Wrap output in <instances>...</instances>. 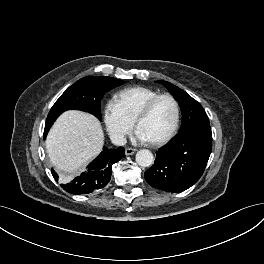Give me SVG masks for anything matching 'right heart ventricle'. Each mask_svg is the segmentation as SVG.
<instances>
[{
    "mask_svg": "<svg viewBox=\"0 0 264 264\" xmlns=\"http://www.w3.org/2000/svg\"><path fill=\"white\" fill-rule=\"evenodd\" d=\"M159 92L145 86L125 88L115 94V103L126 117L134 122L142 107Z\"/></svg>",
    "mask_w": 264,
    "mask_h": 264,
    "instance_id": "1",
    "label": "right heart ventricle"
}]
</instances>
